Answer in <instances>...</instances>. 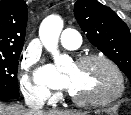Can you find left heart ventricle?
<instances>
[{
	"instance_id": "b2bd125f",
	"label": "left heart ventricle",
	"mask_w": 131,
	"mask_h": 115,
	"mask_svg": "<svg viewBox=\"0 0 131 115\" xmlns=\"http://www.w3.org/2000/svg\"><path fill=\"white\" fill-rule=\"evenodd\" d=\"M66 74L71 82L72 94L82 98H106L112 95L118 86L111 67L100 60L83 65L73 64Z\"/></svg>"
}]
</instances>
